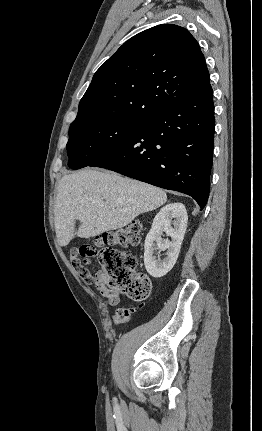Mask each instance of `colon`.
<instances>
[{"label": "colon", "mask_w": 262, "mask_h": 431, "mask_svg": "<svg viewBox=\"0 0 262 431\" xmlns=\"http://www.w3.org/2000/svg\"><path fill=\"white\" fill-rule=\"evenodd\" d=\"M141 225L132 223L119 230L103 234L89 245L71 249L73 265L81 276L88 275L85 263L97 258L100 265L98 278L106 286L124 292L133 301H145L151 291L149 278L137 270L139 262L136 257L118 251L117 246L136 245L140 239ZM129 310L118 311L114 317L116 323L128 319Z\"/></svg>", "instance_id": "1"}]
</instances>
